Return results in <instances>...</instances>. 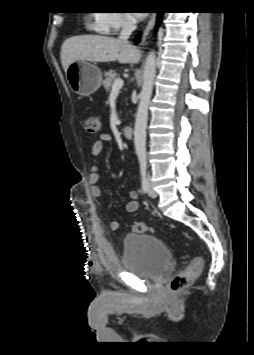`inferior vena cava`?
Instances as JSON below:
<instances>
[{
    "label": "inferior vena cava",
    "mask_w": 254,
    "mask_h": 355,
    "mask_svg": "<svg viewBox=\"0 0 254 355\" xmlns=\"http://www.w3.org/2000/svg\"><path fill=\"white\" fill-rule=\"evenodd\" d=\"M135 29L136 26L133 21L129 18H125L122 22V30L120 32L119 39L128 43V38Z\"/></svg>",
    "instance_id": "obj_1"
}]
</instances>
